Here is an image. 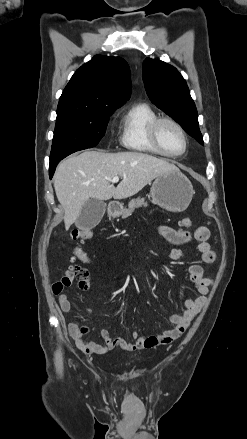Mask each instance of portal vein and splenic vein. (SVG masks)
Listing matches in <instances>:
<instances>
[{
  "instance_id": "obj_1",
  "label": "portal vein and splenic vein",
  "mask_w": 247,
  "mask_h": 439,
  "mask_svg": "<svg viewBox=\"0 0 247 439\" xmlns=\"http://www.w3.org/2000/svg\"><path fill=\"white\" fill-rule=\"evenodd\" d=\"M112 183H117L119 181V177L115 176L110 180Z\"/></svg>"
}]
</instances>
